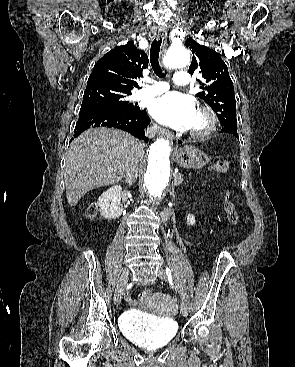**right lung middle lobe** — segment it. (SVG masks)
<instances>
[{
  "label": "right lung middle lobe",
  "mask_w": 295,
  "mask_h": 367,
  "mask_svg": "<svg viewBox=\"0 0 295 367\" xmlns=\"http://www.w3.org/2000/svg\"><path fill=\"white\" fill-rule=\"evenodd\" d=\"M127 95L119 94L112 90L94 87L86 89L80 110L109 108L118 110H133L137 106L126 101Z\"/></svg>",
  "instance_id": "obj_1"
}]
</instances>
